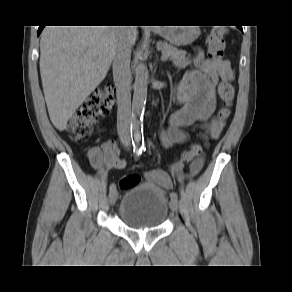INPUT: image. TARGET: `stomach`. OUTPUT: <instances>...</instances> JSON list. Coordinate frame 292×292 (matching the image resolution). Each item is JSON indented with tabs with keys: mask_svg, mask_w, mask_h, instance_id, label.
<instances>
[{
	"mask_svg": "<svg viewBox=\"0 0 292 292\" xmlns=\"http://www.w3.org/2000/svg\"><path fill=\"white\" fill-rule=\"evenodd\" d=\"M198 26L163 28L160 35L176 46L192 43L199 35Z\"/></svg>",
	"mask_w": 292,
	"mask_h": 292,
	"instance_id": "stomach-1",
	"label": "stomach"
}]
</instances>
